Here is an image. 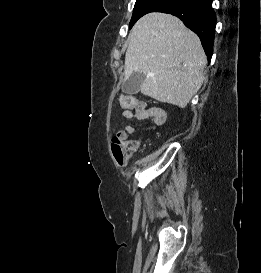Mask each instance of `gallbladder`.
I'll return each instance as SVG.
<instances>
[{"mask_svg":"<svg viewBox=\"0 0 261 273\" xmlns=\"http://www.w3.org/2000/svg\"><path fill=\"white\" fill-rule=\"evenodd\" d=\"M144 79L145 75L142 72H133L122 85L123 93L128 95L137 94Z\"/></svg>","mask_w":261,"mask_h":273,"instance_id":"gallbladder-1","label":"gallbladder"}]
</instances>
